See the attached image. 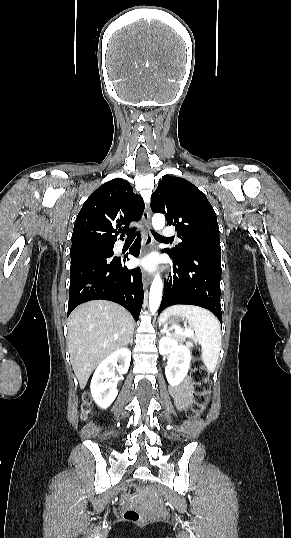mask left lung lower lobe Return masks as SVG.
<instances>
[{"label":"left lung lower lobe","mask_w":291,"mask_h":538,"mask_svg":"<svg viewBox=\"0 0 291 538\" xmlns=\"http://www.w3.org/2000/svg\"><path fill=\"white\" fill-rule=\"evenodd\" d=\"M173 275L165 281L164 294L159 308L175 304L196 305L213 312L222 322L220 304L221 251L193 249L180 257H173Z\"/></svg>","instance_id":"obj_1"}]
</instances>
